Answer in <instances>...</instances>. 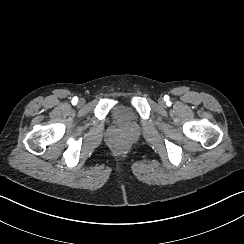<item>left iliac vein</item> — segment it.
<instances>
[{
    "label": "left iliac vein",
    "instance_id": "left-iliac-vein-1",
    "mask_svg": "<svg viewBox=\"0 0 244 244\" xmlns=\"http://www.w3.org/2000/svg\"><path fill=\"white\" fill-rule=\"evenodd\" d=\"M158 103L160 106H164V101L162 99H160Z\"/></svg>",
    "mask_w": 244,
    "mask_h": 244
}]
</instances>
